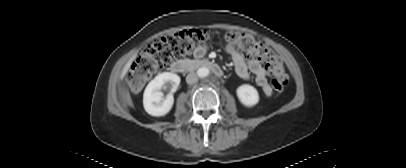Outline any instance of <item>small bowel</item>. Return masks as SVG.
I'll use <instances>...</instances> for the list:
<instances>
[{"instance_id": "small-bowel-1", "label": "small bowel", "mask_w": 406, "mask_h": 168, "mask_svg": "<svg viewBox=\"0 0 406 168\" xmlns=\"http://www.w3.org/2000/svg\"><path fill=\"white\" fill-rule=\"evenodd\" d=\"M226 51L230 54L239 77L249 79L250 75L254 74L256 84L261 88L263 94L267 97L272 94V89L266 78L265 67L258 59L243 56L230 44L226 45ZM205 53L206 48L202 46L195 50L194 55L196 58H201Z\"/></svg>"}]
</instances>
